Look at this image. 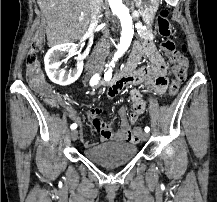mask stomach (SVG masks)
Returning <instances> with one entry per match:
<instances>
[{
    "instance_id": "obj_1",
    "label": "stomach",
    "mask_w": 217,
    "mask_h": 202,
    "mask_svg": "<svg viewBox=\"0 0 217 202\" xmlns=\"http://www.w3.org/2000/svg\"><path fill=\"white\" fill-rule=\"evenodd\" d=\"M146 26H151L158 10L160 0H134Z\"/></svg>"
}]
</instances>
